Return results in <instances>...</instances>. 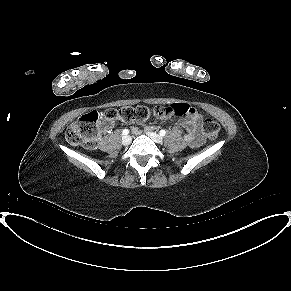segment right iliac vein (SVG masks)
Returning <instances> with one entry per match:
<instances>
[{"mask_svg":"<svg viewBox=\"0 0 291 291\" xmlns=\"http://www.w3.org/2000/svg\"><path fill=\"white\" fill-rule=\"evenodd\" d=\"M122 144L124 145V146H127V145H129L130 144V142H131V137L130 136H128V135H125V136H123L122 137Z\"/></svg>","mask_w":291,"mask_h":291,"instance_id":"obj_1","label":"right iliac vein"}]
</instances>
